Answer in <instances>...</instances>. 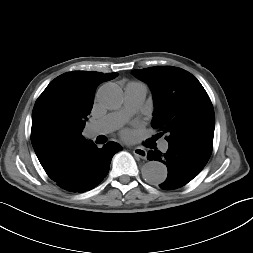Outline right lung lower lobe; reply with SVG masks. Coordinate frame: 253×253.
Wrapping results in <instances>:
<instances>
[{
    "label": "right lung lower lobe",
    "mask_w": 253,
    "mask_h": 253,
    "mask_svg": "<svg viewBox=\"0 0 253 253\" xmlns=\"http://www.w3.org/2000/svg\"><path fill=\"white\" fill-rule=\"evenodd\" d=\"M122 147L108 142L99 149L89 143L73 153L66 169V177L58 186L70 192H85L93 189L106 177L111 159Z\"/></svg>",
    "instance_id": "98d812e1"
}]
</instances>
